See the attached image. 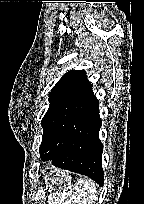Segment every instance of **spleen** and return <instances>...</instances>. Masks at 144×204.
I'll list each match as a JSON object with an SVG mask.
<instances>
[{
	"label": "spleen",
	"mask_w": 144,
	"mask_h": 204,
	"mask_svg": "<svg viewBox=\"0 0 144 204\" xmlns=\"http://www.w3.org/2000/svg\"><path fill=\"white\" fill-rule=\"evenodd\" d=\"M95 183L88 178H80L74 186L63 189L49 197V204H93L98 195Z\"/></svg>",
	"instance_id": "3e777b00"
}]
</instances>
